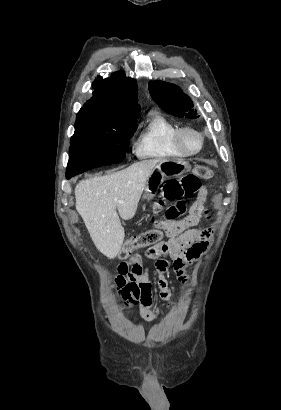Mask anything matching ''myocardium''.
Listing matches in <instances>:
<instances>
[{"instance_id": "f54148a6", "label": "myocardium", "mask_w": 281, "mask_h": 410, "mask_svg": "<svg viewBox=\"0 0 281 410\" xmlns=\"http://www.w3.org/2000/svg\"><path fill=\"white\" fill-rule=\"evenodd\" d=\"M188 134H194L199 139V145L195 149H190L186 144V136ZM175 141L177 147L187 156L196 155L202 151L205 145V137L204 135L196 128L185 126L181 127L175 136Z\"/></svg>"}]
</instances>
